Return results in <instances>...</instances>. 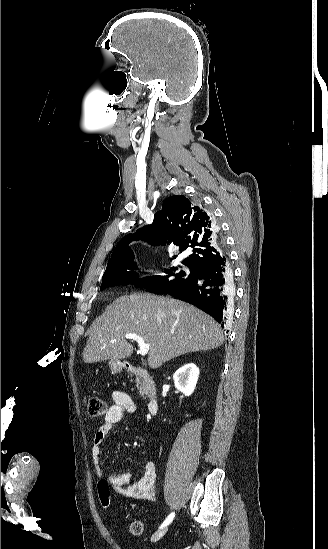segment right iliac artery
<instances>
[{
  "instance_id": "right-iliac-artery-1",
  "label": "right iliac artery",
  "mask_w": 328,
  "mask_h": 549,
  "mask_svg": "<svg viewBox=\"0 0 328 549\" xmlns=\"http://www.w3.org/2000/svg\"><path fill=\"white\" fill-rule=\"evenodd\" d=\"M175 514L174 513H171L167 518L166 520L163 522V524L161 525L160 528H163L165 526H167L168 524H170L174 518Z\"/></svg>"
}]
</instances>
